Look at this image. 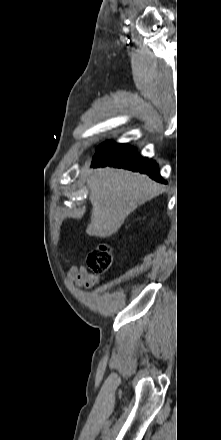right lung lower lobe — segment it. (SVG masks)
<instances>
[{
    "label": "right lung lower lobe",
    "mask_w": 221,
    "mask_h": 440,
    "mask_svg": "<svg viewBox=\"0 0 221 440\" xmlns=\"http://www.w3.org/2000/svg\"><path fill=\"white\" fill-rule=\"evenodd\" d=\"M112 166L149 175L152 179L166 183L160 176L157 164L142 157L136 148L114 142H105L96 149L91 167Z\"/></svg>",
    "instance_id": "98d812e1"
}]
</instances>
